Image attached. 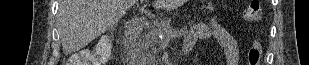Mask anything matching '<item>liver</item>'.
I'll return each instance as SVG.
<instances>
[{
	"mask_svg": "<svg viewBox=\"0 0 309 65\" xmlns=\"http://www.w3.org/2000/svg\"><path fill=\"white\" fill-rule=\"evenodd\" d=\"M137 0H60L58 31L65 54L77 52L118 23ZM185 0H153L157 9L173 10Z\"/></svg>",
	"mask_w": 309,
	"mask_h": 65,
	"instance_id": "obj_1",
	"label": "liver"
}]
</instances>
